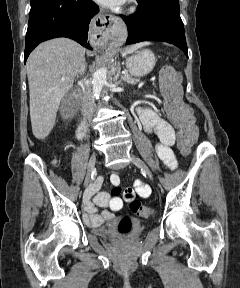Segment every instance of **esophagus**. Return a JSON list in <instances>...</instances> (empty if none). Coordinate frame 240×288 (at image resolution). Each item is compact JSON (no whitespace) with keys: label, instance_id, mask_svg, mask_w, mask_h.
Masks as SVG:
<instances>
[{"label":"esophagus","instance_id":"obj_1","mask_svg":"<svg viewBox=\"0 0 240 288\" xmlns=\"http://www.w3.org/2000/svg\"><path fill=\"white\" fill-rule=\"evenodd\" d=\"M120 20L103 10L94 18L96 42L100 46H106L113 37Z\"/></svg>","mask_w":240,"mask_h":288}]
</instances>
